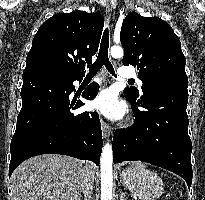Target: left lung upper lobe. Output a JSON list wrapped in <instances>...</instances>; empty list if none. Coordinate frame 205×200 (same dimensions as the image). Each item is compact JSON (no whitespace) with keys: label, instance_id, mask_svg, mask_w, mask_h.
<instances>
[{"label":"left lung upper lobe","instance_id":"obj_1","mask_svg":"<svg viewBox=\"0 0 205 200\" xmlns=\"http://www.w3.org/2000/svg\"><path fill=\"white\" fill-rule=\"evenodd\" d=\"M120 40L125 50L123 64L137 66L142 90L157 80L188 79L180 40L164 20L130 13L122 23ZM124 92L130 97H139L136 88H127Z\"/></svg>","mask_w":205,"mask_h":200}]
</instances>
